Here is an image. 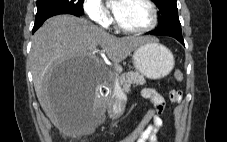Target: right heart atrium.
<instances>
[{"label":"right heart atrium","mask_w":227,"mask_h":142,"mask_svg":"<svg viewBox=\"0 0 227 142\" xmlns=\"http://www.w3.org/2000/svg\"><path fill=\"white\" fill-rule=\"evenodd\" d=\"M83 10L93 23L104 28L110 25L111 16L100 0H84Z\"/></svg>","instance_id":"right-heart-atrium-1"}]
</instances>
